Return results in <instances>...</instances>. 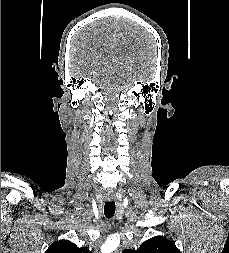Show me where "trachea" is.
Returning <instances> with one entry per match:
<instances>
[{"label": "trachea", "instance_id": "obj_1", "mask_svg": "<svg viewBox=\"0 0 229 253\" xmlns=\"http://www.w3.org/2000/svg\"><path fill=\"white\" fill-rule=\"evenodd\" d=\"M115 214V203L113 201L106 202L104 205V215L106 218H112Z\"/></svg>", "mask_w": 229, "mask_h": 253}]
</instances>
